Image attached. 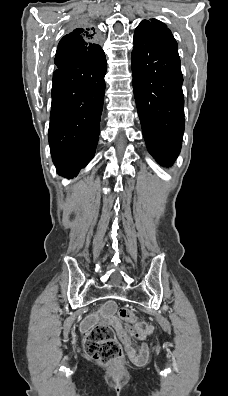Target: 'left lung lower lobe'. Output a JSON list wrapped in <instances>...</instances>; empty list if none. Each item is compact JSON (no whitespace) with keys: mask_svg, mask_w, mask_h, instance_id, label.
I'll use <instances>...</instances> for the list:
<instances>
[{"mask_svg":"<svg viewBox=\"0 0 228 396\" xmlns=\"http://www.w3.org/2000/svg\"><path fill=\"white\" fill-rule=\"evenodd\" d=\"M133 87L143 136L163 166L177 158L184 132L183 77L174 37L161 29L134 36Z\"/></svg>","mask_w":228,"mask_h":396,"instance_id":"obj_1","label":"left lung lower lobe"}]
</instances>
